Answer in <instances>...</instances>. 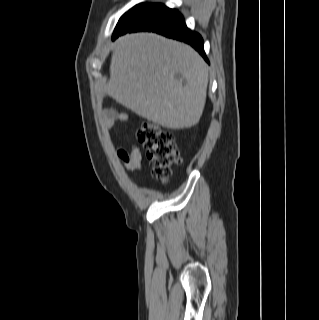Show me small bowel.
Here are the masks:
<instances>
[{
    "label": "small bowel",
    "instance_id": "obj_1",
    "mask_svg": "<svg viewBox=\"0 0 319 320\" xmlns=\"http://www.w3.org/2000/svg\"><path fill=\"white\" fill-rule=\"evenodd\" d=\"M125 113H108L104 117L103 126L107 137L112 141L111 132L117 122L127 120ZM117 158L123 163L125 169L131 173L140 172L142 169V155L140 148L136 144H131L129 148L118 149Z\"/></svg>",
    "mask_w": 319,
    "mask_h": 320
}]
</instances>
